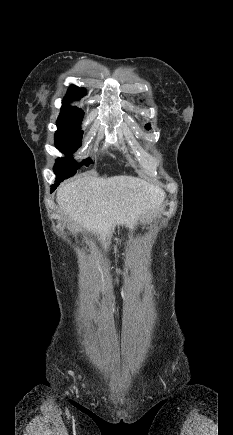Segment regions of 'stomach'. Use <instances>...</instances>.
Wrapping results in <instances>:
<instances>
[{
	"instance_id": "0dacf381",
	"label": "stomach",
	"mask_w": 233,
	"mask_h": 435,
	"mask_svg": "<svg viewBox=\"0 0 233 435\" xmlns=\"http://www.w3.org/2000/svg\"><path fill=\"white\" fill-rule=\"evenodd\" d=\"M116 272H117L118 274H122V271H121L120 269H116Z\"/></svg>"
}]
</instances>
